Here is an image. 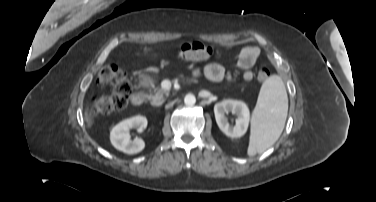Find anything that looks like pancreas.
<instances>
[{"label": "pancreas", "instance_id": "1", "mask_svg": "<svg viewBox=\"0 0 376 202\" xmlns=\"http://www.w3.org/2000/svg\"><path fill=\"white\" fill-rule=\"evenodd\" d=\"M169 95V91L168 90H165L161 87H158L155 89V93L154 94H150L148 96V99L150 100L151 104L152 105H161L164 100H165V97H167Z\"/></svg>", "mask_w": 376, "mask_h": 202}]
</instances>
